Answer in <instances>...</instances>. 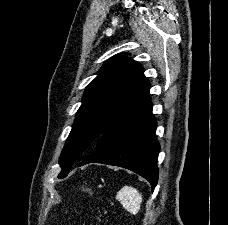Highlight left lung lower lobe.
Segmentation results:
<instances>
[{
  "instance_id": "left-lung-lower-lobe-1",
  "label": "left lung lower lobe",
  "mask_w": 228,
  "mask_h": 225,
  "mask_svg": "<svg viewBox=\"0 0 228 225\" xmlns=\"http://www.w3.org/2000/svg\"><path fill=\"white\" fill-rule=\"evenodd\" d=\"M156 127L148 94L101 135L94 151L79 166L102 163L129 169L148 180L153 191L158 180L160 151Z\"/></svg>"
}]
</instances>
